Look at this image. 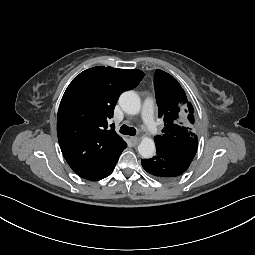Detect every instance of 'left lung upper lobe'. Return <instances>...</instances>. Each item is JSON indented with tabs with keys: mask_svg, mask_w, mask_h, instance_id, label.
<instances>
[{
	"mask_svg": "<svg viewBox=\"0 0 255 255\" xmlns=\"http://www.w3.org/2000/svg\"><path fill=\"white\" fill-rule=\"evenodd\" d=\"M154 84L159 117L164 120L163 134L154 138L156 147L196 143L194 110L178 81L157 69Z\"/></svg>",
	"mask_w": 255,
	"mask_h": 255,
	"instance_id": "1",
	"label": "left lung upper lobe"
}]
</instances>
